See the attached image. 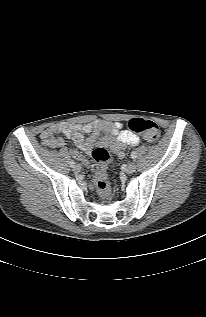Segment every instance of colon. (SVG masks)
Segmentation results:
<instances>
[{
  "mask_svg": "<svg viewBox=\"0 0 206 317\" xmlns=\"http://www.w3.org/2000/svg\"><path fill=\"white\" fill-rule=\"evenodd\" d=\"M127 129L140 134L145 140L155 142L160 136L158 125L149 119L140 117L132 118L126 125ZM92 157L95 162L94 181L98 190L103 194H108V182L106 169L110 161L108 151L103 147H98L93 150Z\"/></svg>",
  "mask_w": 206,
  "mask_h": 317,
  "instance_id": "colon-1",
  "label": "colon"
}]
</instances>
